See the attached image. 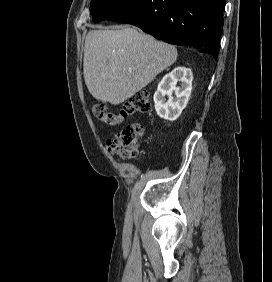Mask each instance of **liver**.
<instances>
[{
    "label": "liver",
    "instance_id": "obj_1",
    "mask_svg": "<svg viewBox=\"0 0 272 282\" xmlns=\"http://www.w3.org/2000/svg\"><path fill=\"white\" fill-rule=\"evenodd\" d=\"M176 59L175 46L135 28L92 30L85 39L84 80L94 98L118 105L147 86Z\"/></svg>",
    "mask_w": 272,
    "mask_h": 282
}]
</instances>
